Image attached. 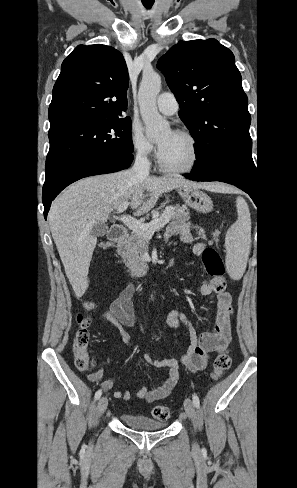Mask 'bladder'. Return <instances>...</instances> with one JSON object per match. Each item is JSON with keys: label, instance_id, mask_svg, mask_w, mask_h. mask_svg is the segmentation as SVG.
Returning <instances> with one entry per match:
<instances>
[{"label": "bladder", "instance_id": "obj_1", "mask_svg": "<svg viewBox=\"0 0 297 488\" xmlns=\"http://www.w3.org/2000/svg\"><path fill=\"white\" fill-rule=\"evenodd\" d=\"M120 419L125 426L138 431H157L166 427L165 422L144 415L123 413Z\"/></svg>", "mask_w": 297, "mask_h": 488}]
</instances>
